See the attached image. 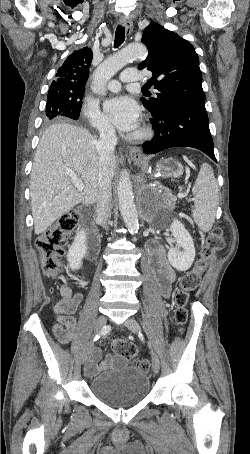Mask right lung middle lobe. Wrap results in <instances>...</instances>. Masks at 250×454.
Wrapping results in <instances>:
<instances>
[{"instance_id":"dd1d6c3e","label":"right lung middle lobe","mask_w":250,"mask_h":454,"mask_svg":"<svg viewBox=\"0 0 250 454\" xmlns=\"http://www.w3.org/2000/svg\"><path fill=\"white\" fill-rule=\"evenodd\" d=\"M85 91H81L74 95L59 94L49 91L47 96L45 122L59 117H68L74 120L79 118V113L82 107V98Z\"/></svg>"}]
</instances>
